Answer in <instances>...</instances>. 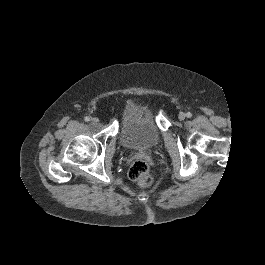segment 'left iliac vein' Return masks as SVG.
Returning a JSON list of instances; mask_svg holds the SVG:
<instances>
[{"mask_svg":"<svg viewBox=\"0 0 265 265\" xmlns=\"http://www.w3.org/2000/svg\"><path fill=\"white\" fill-rule=\"evenodd\" d=\"M178 118H179L180 120H184V119L186 118V114L183 113V112H181V113L179 114Z\"/></svg>","mask_w":265,"mask_h":265,"instance_id":"1","label":"left iliac vein"}]
</instances>
